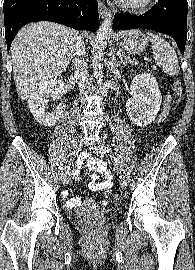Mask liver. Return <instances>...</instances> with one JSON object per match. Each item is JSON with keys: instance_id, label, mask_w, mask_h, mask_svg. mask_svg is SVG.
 <instances>
[{"instance_id": "6515ba94", "label": "liver", "mask_w": 195, "mask_h": 270, "mask_svg": "<svg viewBox=\"0 0 195 270\" xmlns=\"http://www.w3.org/2000/svg\"><path fill=\"white\" fill-rule=\"evenodd\" d=\"M77 37L74 29L52 22L31 23L18 32L10 52L16 91L22 100L62 74Z\"/></svg>"}]
</instances>
